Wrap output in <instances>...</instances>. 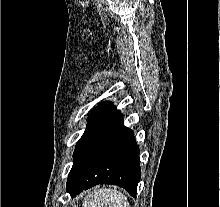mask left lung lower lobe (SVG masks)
<instances>
[{
	"mask_svg": "<svg viewBox=\"0 0 220 207\" xmlns=\"http://www.w3.org/2000/svg\"><path fill=\"white\" fill-rule=\"evenodd\" d=\"M139 149L122 114L110 102L98 105L76 144L66 190L72 197L98 184H114L136 196L140 180Z\"/></svg>",
	"mask_w": 220,
	"mask_h": 207,
	"instance_id": "left-lung-lower-lobe-1",
	"label": "left lung lower lobe"
}]
</instances>
